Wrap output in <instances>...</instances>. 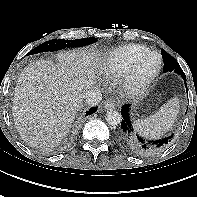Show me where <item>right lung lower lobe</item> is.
Here are the masks:
<instances>
[{"label":"right lung lower lobe","instance_id":"1","mask_svg":"<svg viewBox=\"0 0 197 197\" xmlns=\"http://www.w3.org/2000/svg\"><path fill=\"white\" fill-rule=\"evenodd\" d=\"M96 110H97V107L91 108V109L86 113V116H87V115H90V114H92V113H94V112H96Z\"/></svg>","mask_w":197,"mask_h":197}]
</instances>
